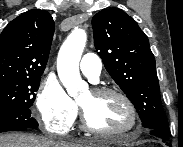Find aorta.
I'll return each mask as SVG.
<instances>
[{"label":"aorta","instance_id":"762f6f07","mask_svg":"<svg viewBox=\"0 0 183 147\" xmlns=\"http://www.w3.org/2000/svg\"><path fill=\"white\" fill-rule=\"evenodd\" d=\"M87 40L83 29H74L60 48L57 58L59 78L68 94L77 98L80 92L88 88L79 72V62Z\"/></svg>","mask_w":183,"mask_h":147}]
</instances>
